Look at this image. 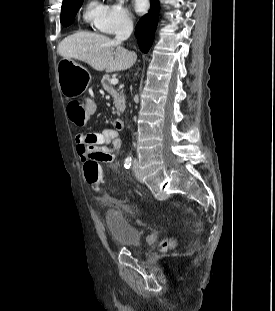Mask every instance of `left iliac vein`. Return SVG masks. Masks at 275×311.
I'll use <instances>...</instances> for the list:
<instances>
[{"mask_svg": "<svg viewBox=\"0 0 275 311\" xmlns=\"http://www.w3.org/2000/svg\"><path fill=\"white\" fill-rule=\"evenodd\" d=\"M133 171H134V175L136 177V179L140 182H142V174L140 172V168H139V164H138V160L135 159L134 162H133Z\"/></svg>", "mask_w": 275, "mask_h": 311, "instance_id": "left-iliac-vein-1", "label": "left iliac vein"}]
</instances>
